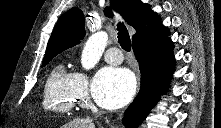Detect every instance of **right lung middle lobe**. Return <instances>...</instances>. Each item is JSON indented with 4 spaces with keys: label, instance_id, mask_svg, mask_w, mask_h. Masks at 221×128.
Returning a JSON list of instances; mask_svg holds the SVG:
<instances>
[{
    "label": "right lung middle lobe",
    "instance_id": "1",
    "mask_svg": "<svg viewBox=\"0 0 221 128\" xmlns=\"http://www.w3.org/2000/svg\"><path fill=\"white\" fill-rule=\"evenodd\" d=\"M54 56H50V57H45L42 63V66H45L46 64H48V62L53 58Z\"/></svg>",
    "mask_w": 221,
    "mask_h": 128
}]
</instances>
